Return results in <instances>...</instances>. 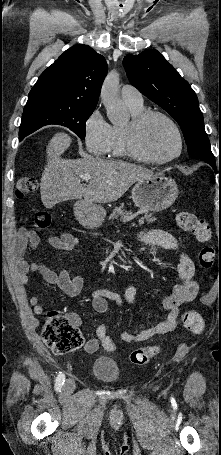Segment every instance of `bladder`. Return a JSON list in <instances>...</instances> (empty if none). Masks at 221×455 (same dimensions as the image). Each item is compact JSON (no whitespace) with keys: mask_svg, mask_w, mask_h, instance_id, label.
<instances>
[{"mask_svg":"<svg viewBox=\"0 0 221 455\" xmlns=\"http://www.w3.org/2000/svg\"><path fill=\"white\" fill-rule=\"evenodd\" d=\"M92 373L95 377L105 382H115L119 378L118 364L109 359H96L92 364Z\"/></svg>","mask_w":221,"mask_h":455,"instance_id":"1","label":"bladder"}]
</instances>
